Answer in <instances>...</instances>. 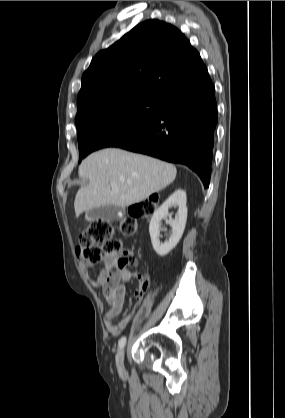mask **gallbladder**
Segmentation results:
<instances>
[{
  "mask_svg": "<svg viewBox=\"0 0 285 418\" xmlns=\"http://www.w3.org/2000/svg\"><path fill=\"white\" fill-rule=\"evenodd\" d=\"M121 208L114 205H105L95 207L86 212V220L95 221L101 219L103 221H117L120 219Z\"/></svg>",
  "mask_w": 285,
  "mask_h": 418,
  "instance_id": "1",
  "label": "gallbladder"
}]
</instances>
